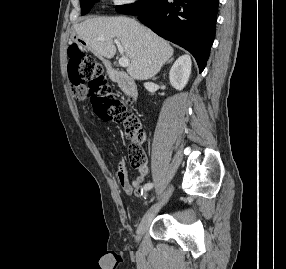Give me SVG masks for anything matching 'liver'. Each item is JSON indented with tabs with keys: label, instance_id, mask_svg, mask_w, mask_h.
<instances>
[{
	"label": "liver",
	"instance_id": "6515ba94",
	"mask_svg": "<svg viewBox=\"0 0 286 269\" xmlns=\"http://www.w3.org/2000/svg\"><path fill=\"white\" fill-rule=\"evenodd\" d=\"M74 30L99 58H113L116 54L113 39H118L130 61L127 73L137 80L154 77L174 52L166 40L128 17L87 19L74 25Z\"/></svg>",
	"mask_w": 286,
	"mask_h": 269
}]
</instances>
